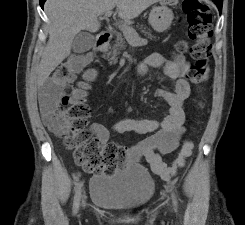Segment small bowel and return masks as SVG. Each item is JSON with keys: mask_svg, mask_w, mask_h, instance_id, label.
I'll return each instance as SVG.
<instances>
[{"mask_svg": "<svg viewBox=\"0 0 245 225\" xmlns=\"http://www.w3.org/2000/svg\"><path fill=\"white\" fill-rule=\"evenodd\" d=\"M160 66H164L166 77L173 83L172 90L160 88L156 91V96L168 106L167 115L161 120L125 117L118 120L112 128L118 133L133 132L148 135L128 148V159L149 165L154 173H156L153 169L154 160H161V155L173 152L187 131L188 122L184 104L191 92L187 78L189 63L183 55L167 59L162 53L154 52L137 64L135 74L140 78L150 67ZM82 87L88 89L90 84L82 83ZM39 102L44 122L54 126L55 117L52 113L55 100L49 94H40ZM91 130L100 144L108 142L110 130L105 125L94 122L91 124Z\"/></svg>", "mask_w": 245, "mask_h": 225, "instance_id": "c3829d8e", "label": "small bowel"}]
</instances>
